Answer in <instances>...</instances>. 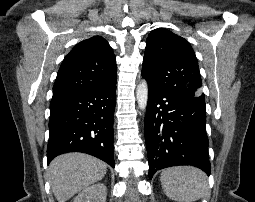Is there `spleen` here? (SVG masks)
<instances>
[{
    "label": "spleen",
    "instance_id": "spleen-1",
    "mask_svg": "<svg viewBox=\"0 0 255 202\" xmlns=\"http://www.w3.org/2000/svg\"><path fill=\"white\" fill-rule=\"evenodd\" d=\"M164 193L177 202H193L206 197L208 181L204 172L194 167H172L162 171Z\"/></svg>",
    "mask_w": 255,
    "mask_h": 202
}]
</instances>
